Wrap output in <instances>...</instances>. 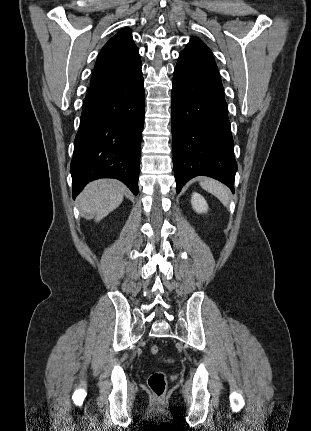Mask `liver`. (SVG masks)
<instances>
[{
  "label": "liver",
  "instance_id": "liver-1",
  "mask_svg": "<svg viewBox=\"0 0 311 431\" xmlns=\"http://www.w3.org/2000/svg\"><path fill=\"white\" fill-rule=\"evenodd\" d=\"M124 192L126 188L118 180H96L84 188L78 202L87 219L100 221L122 204Z\"/></svg>",
  "mask_w": 311,
  "mask_h": 431
}]
</instances>
